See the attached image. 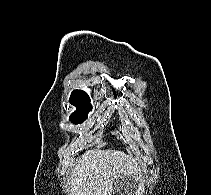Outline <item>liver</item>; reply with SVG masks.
<instances>
[{
	"mask_svg": "<svg viewBox=\"0 0 211 195\" xmlns=\"http://www.w3.org/2000/svg\"><path fill=\"white\" fill-rule=\"evenodd\" d=\"M142 171L139 160L122 151L88 150L77 158L72 169L69 195H112L115 180L126 176L140 182L138 192L131 190L126 194L140 195L144 192Z\"/></svg>",
	"mask_w": 211,
	"mask_h": 195,
	"instance_id": "obj_1",
	"label": "liver"
}]
</instances>
